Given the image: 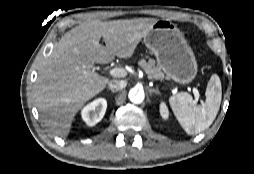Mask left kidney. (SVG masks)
<instances>
[{
  "label": "left kidney",
  "mask_w": 254,
  "mask_h": 174,
  "mask_svg": "<svg viewBox=\"0 0 254 174\" xmlns=\"http://www.w3.org/2000/svg\"><path fill=\"white\" fill-rule=\"evenodd\" d=\"M160 114L162 116L163 119H168L169 117V110L167 105L164 102H161L160 104Z\"/></svg>",
  "instance_id": "obj_1"
}]
</instances>
